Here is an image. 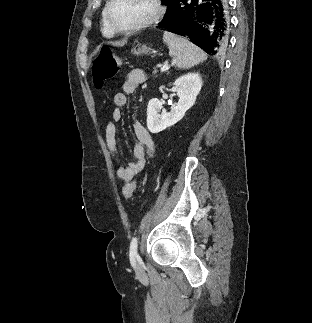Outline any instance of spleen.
I'll return each mask as SVG.
<instances>
[{
	"label": "spleen",
	"mask_w": 312,
	"mask_h": 323,
	"mask_svg": "<svg viewBox=\"0 0 312 323\" xmlns=\"http://www.w3.org/2000/svg\"><path fill=\"white\" fill-rule=\"evenodd\" d=\"M163 42L168 44L169 54L174 58L177 68L189 70L192 66H197L200 62L207 60V54H204L203 50L182 36H177L172 32H164Z\"/></svg>",
	"instance_id": "obj_1"
}]
</instances>
